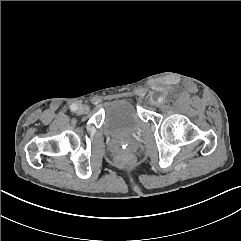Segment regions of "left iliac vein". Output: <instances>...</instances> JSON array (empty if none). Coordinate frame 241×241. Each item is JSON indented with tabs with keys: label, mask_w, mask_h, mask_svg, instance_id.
Masks as SVG:
<instances>
[{
	"label": "left iliac vein",
	"mask_w": 241,
	"mask_h": 241,
	"mask_svg": "<svg viewBox=\"0 0 241 241\" xmlns=\"http://www.w3.org/2000/svg\"><path fill=\"white\" fill-rule=\"evenodd\" d=\"M150 104L154 105V106H158L159 105V103L157 101L153 100V99L150 100Z\"/></svg>",
	"instance_id": "1"
}]
</instances>
